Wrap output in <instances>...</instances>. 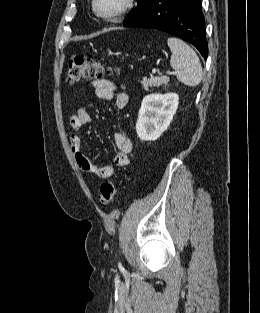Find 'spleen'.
<instances>
[{
	"instance_id": "spleen-1",
	"label": "spleen",
	"mask_w": 260,
	"mask_h": 313,
	"mask_svg": "<svg viewBox=\"0 0 260 313\" xmlns=\"http://www.w3.org/2000/svg\"><path fill=\"white\" fill-rule=\"evenodd\" d=\"M171 50L170 65L176 71L177 79L186 86L195 87L202 80V67L195 51L181 39L167 40Z\"/></svg>"
}]
</instances>
